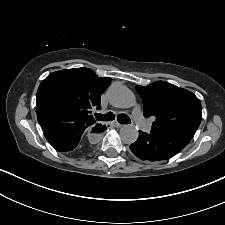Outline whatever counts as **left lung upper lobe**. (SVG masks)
<instances>
[{"instance_id": "obj_1", "label": "left lung upper lobe", "mask_w": 225, "mask_h": 225, "mask_svg": "<svg viewBox=\"0 0 225 225\" xmlns=\"http://www.w3.org/2000/svg\"><path fill=\"white\" fill-rule=\"evenodd\" d=\"M146 118L154 117L151 134L183 135L193 138L202 119V106L190 91L164 81L137 86Z\"/></svg>"}]
</instances>
